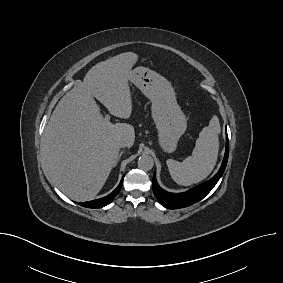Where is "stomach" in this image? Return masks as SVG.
Masks as SVG:
<instances>
[{
  "label": "stomach",
  "instance_id": "0dacf381",
  "mask_svg": "<svg viewBox=\"0 0 283 283\" xmlns=\"http://www.w3.org/2000/svg\"><path fill=\"white\" fill-rule=\"evenodd\" d=\"M130 81L152 102V117L161 148L168 153L174 152L186 130L187 121L177 104L171 83L157 72L141 66L131 71Z\"/></svg>",
  "mask_w": 283,
  "mask_h": 283
}]
</instances>
